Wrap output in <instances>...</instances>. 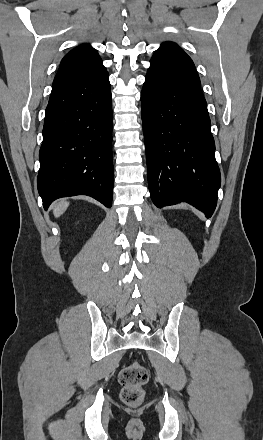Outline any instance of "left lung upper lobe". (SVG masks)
I'll list each match as a JSON object with an SVG mask.
<instances>
[{"mask_svg":"<svg viewBox=\"0 0 263 440\" xmlns=\"http://www.w3.org/2000/svg\"><path fill=\"white\" fill-rule=\"evenodd\" d=\"M169 43H170V42H164V43L161 45V47H164V46L168 45ZM161 47H160V48H161ZM160 48H159V49H160ZM159 49H158V50H159ZM158 50L154 53L153 57L157 54ZM153 57H152V58H153Z\"/></svg>","mask_w":263,"mask_h":440,"instance_id":"left-lung-upper-lobe-1","label":"left lung upper lobe"}]
</instances>
